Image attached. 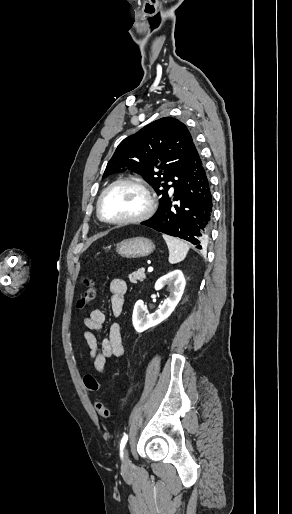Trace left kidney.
<instances>
[{
    "instance_id": "5707ae66",
    "label": "left kidney",
    "mask_w": 292,
    "mask_h": 514,
    "mask_svg": "<svg viewBox=\"0 0 292 514\" xmlns=\"http://www.w3.org/2000/svg\"><path fill=\"white\" fill-rule=\"evenodd\" d=\"M168 284H172V286H169L171 296L164 300L162 306H160L159 310H156L154 314H147V306H144L142 300L136 302L132 316V322L136 332H145L148 328H153V326L161 324V322L166 320V318L172 314L173 310H175L178 302H180L182 298L186 284L181 270H174V272L162 276V278L157 280L154 288L155 290H162V288L168 286Z\"/></svg>"
}]
</instances>
